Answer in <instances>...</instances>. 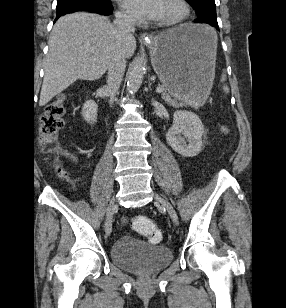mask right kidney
<instances>
[{"mask_svg": "<svg viewBox=\"0 0 286 308\" xmlns=\"http://www.w3.org/2000/svg\"><path fill=\"white\" fill-rule=\"evenodd\" d=\"M98 106L93 100H87L82 108V116L87 123L94 124L97 122Z\"/></svg>", "mask_w": 286, "mask_h": 308, "instance_id": "right-kidney-1", "label": "right kidney"}]
</instances>
